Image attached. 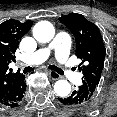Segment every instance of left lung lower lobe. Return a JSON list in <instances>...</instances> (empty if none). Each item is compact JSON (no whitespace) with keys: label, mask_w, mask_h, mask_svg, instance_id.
Returning a JSON list of instances; mask_svg holds the SVG:
<instances>
[{"label":"left lung lower lobe","mask_w":117,"mask_h":117,"mask_svg":"<svg viewBox=\"0 0 117 117\" xmlns=\"http://www.w3.org/2000/svg\"><path fill=\"white\" fill-rule=\"evenodd\" d=\"M90 99L91 94L84 86H79V88L68 97L58 98V100L66 106H81L86 104Z\"/></svg>","instance_id":"1"}]
</instances>
